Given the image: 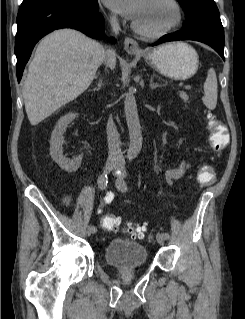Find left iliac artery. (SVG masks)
Wrapping results in <instances>:
<instances>
[{
	"label": "left iliac artery",
	"instance_id": "left-iliac-artery-1",
	"mask_svg": "<svg viewBox=\"0 0 245 319\" xmlns=\"http://www.w3.org/2000/svg\"><path fill=\"white\" fill-rule=\"evenodd\" d=\"M121 189L124 190V191L128 190V185L126 184L125 181L122 183ZM162 234H163V236H164L166 239L169 238V234H168V233L165 232V233H162Z\"/></svg>",
	"mask_w": 245,
	"mask_h": 319
}]
</instances>
